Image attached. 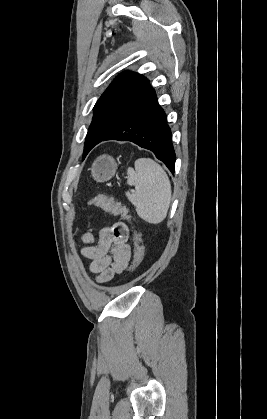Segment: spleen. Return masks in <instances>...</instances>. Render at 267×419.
<instances>
[{
	"instance_id": "obj_1",
	"label": "spleen",
	"mask_w": 267,
	"mask_h": 419,
	"mask_svg": "<svg viewBox=\"0 0 267 419\" xmlns=\"http://www.w3.org/2000/svg\"><path fill=\"white\" fill-rule=\"evenodd\" d=\"M127 183L135 187L126 196L136 207L138 216L151 224L161 223L172 197L171 183L164 169L151 158H139L135 170H127Z\"/></svg>"
}]
</instances>
